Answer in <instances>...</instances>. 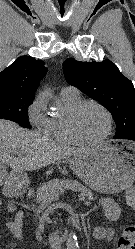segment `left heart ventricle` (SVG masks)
Listing matches in <instances>:
<instances>
[{
	"instance_id": "obj_1",
	"label": "left heart ventricle",
	"mask_w": 135,
	"mask_h": 249,
	"mask_svg": "<svg viewBox=\"0 0 135 249\" xmlns=\"http://www.w3.org/2000/svg\"><path fill=\"white\" fill-rule=\"evenodd\" d=\"M107 126L106 116L94 106L86 107L77 120L80 133L87 139L101 137L106 132Z\"/></svg>"
}]
</instances>
